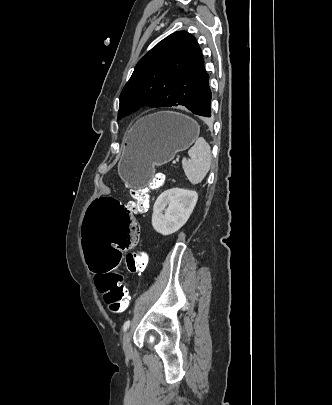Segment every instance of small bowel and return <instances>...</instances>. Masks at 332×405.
<instances>
[{
	"instance_id": "1",
	"label": "small bowel",
	"mask_w": 332,
	"mask_h": 405,
	"mask_svg": "<svg viewBox=\"0 0 332 405\" xmlns=\"http://www.w3.org/2000/svg\"><path fill=\"white\" fill-rule=\"evenodd\" d=\"M135 220H137V219L135 218ZM137 227H139V223H138V221H137ZM136 245H137V243H136Z\"/></svg>"
}]
</instances>
